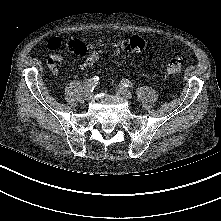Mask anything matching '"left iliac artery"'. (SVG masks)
I'll return each mask as SVG.
<instances>
[{"instance_id":"obj_1","label":"left iliac artery","mask_w":221,"mask_h":221,"mask_svg":"<svg viewBox=\"0 0 221 221\" xmlns=\"http://www.w3.org/2000/svg\"><path fill=\"white\" fill-rule=\"evenodd\" d=\"M121 84L124 86V87H130V81L128 79H122L121 80Z\"/></svg>"}]
</instances>
